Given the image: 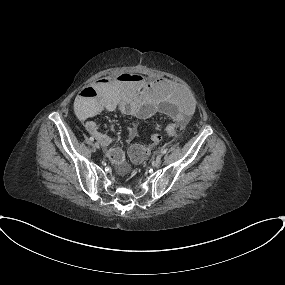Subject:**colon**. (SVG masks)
<instances>
[{
  "instance_id": "1",
  "label": "colon",
  "mask_w": 285,
  "mask_h": 285,
  "mask_svg": "<svg viewBox=\"0 0 285 285\" xmlns=\"http://www.w3.org/2000/svg\"><path fill=\"white\" fill-rule=\"evenodd\" d=\"M125 78H131L130 76H125ZM94 95V94H92ZM92 98H96V96H93ZM180 129V127L177 124L171 123L167 126V131L170 132H177ZM151 145L158 144L162 137L158 133H152L151 134ZM149 148L142 146L140 144H133L130 148V157L133 161L136 162H142L148 155Z\"/></svg>"
}]
</instances>
